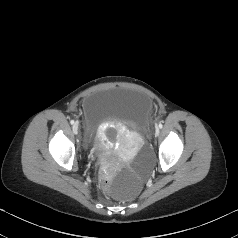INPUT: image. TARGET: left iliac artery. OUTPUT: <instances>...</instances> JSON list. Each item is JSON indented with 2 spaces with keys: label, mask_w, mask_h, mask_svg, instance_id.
<instances>
[{
  "label": "left iliac artery",
  "mask_w": 238,
  "mask_h": 238,
  "mask_svg": "<svg viewBox=\"0 0 238 238\" xmlns=\"http://www.w3.org/2000/svg\"><path fill=\"white\" fill-rule=\"evenodd\" d=\"M162 127H163V125H162V123H160V124H159V128H162Z\"/></svg>",
  "instance_id": "obj_1"
}]
</instances>
